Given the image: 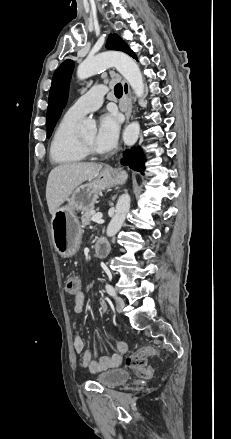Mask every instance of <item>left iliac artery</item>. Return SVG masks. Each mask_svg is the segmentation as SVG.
Segmentation results:
<instances>
[{
	"label": "left iliac artery",
	"instance_id": "44dca946",
	"mask_svg": "<svg viewBox=\"0 0 231 439\" xmlns=\"http://www.w3.org/2000/svg\"><path fill=\"white\" fill-rule=\"evenodd\" d=\"M105 287H106V291H107V293H108L110 296H115V295H116L115 289L113 288L112 285H110V284H106Z\"/></svg>",
	"mask_w": 231,
	"mask_h": 439
}]
</instances>
